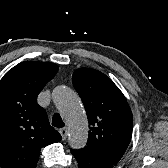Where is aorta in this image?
I'll return each mask as SVG.
<instances>
[{
	"label": "aorta",
	"instance_id": "1",
	"mask_svg": "<svg viewBox=\"0 0 168 168\" xmlns=\"http://www.w3.org/2000/svg\"><path fill=\"white\" fill-rule=\"evenodd\" d=\"M52 99L68 124L70 147L83 148L88 139V121L79 96L60 85L53 89Z\"/></svg>",
	"mask_w": 168,
	"mask_h": 168
}]
</instances>
